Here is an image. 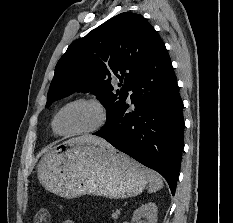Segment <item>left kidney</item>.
<instances>
[{
    "label": "left kidney",
    "mask_w": 233,
    "mask_h": 223,
    "mask_svg": "<svg viewBox=\"0 0 233 223\" xmlns=\"http://www.w3.org/2000/svg\"><path fill=\"white\" fill-rule=\"evenodd\" d=\"M140 217H145L144 223H156L158 217V209L156 203L149 201V203H142L141 207L135 209L131 223H141ZM129 223V221H123Z\"/></svg>",
    "instance_id": "left-kidney-1"
}]
</instances>
